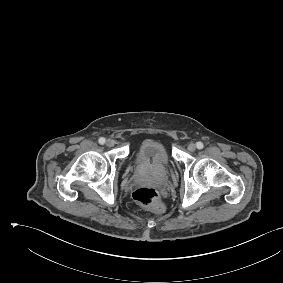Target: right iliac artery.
Returning a JSON list of instances; mask_svg holds the SVG:
<instances>
[{
  "label": "right iliac artery",
  "mask_w": 283,
  "mask_h": 283,
  "mask_svg": "<svg viewBox=\"0 0 283 283\" xmlns=\"http://www.w3.org/2000/svg\"><path fill=\"white\" fill-rule=\"evenodd\" d=\"M98 141L101 145H103L106 142L105 138L103 137H101Z\"/></svg>",
  "instance_id": "82829eb1"
}]
</instances>
